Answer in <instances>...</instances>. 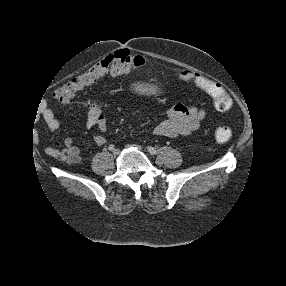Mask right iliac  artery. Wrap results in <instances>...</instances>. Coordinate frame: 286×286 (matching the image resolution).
Listing matches in <instances>:
<instances>
[{
	"instance_id": "right-iliac-artery-1",
	"label": "right iliac artery",
	"mask_w": 286,
	"mask_h": 286,
	"mask_svg": "<svg viewBox=\"0 0 286 286\" xmlns=\"http://www.w3.org/2000/svg\"><path fill=\"white\" fill-rule=\"evenodd\" d=\"M108 149L111 150V151L114 150V145H113V144H110V145L108 146Z\"/></svg>"
}]
</instances>
